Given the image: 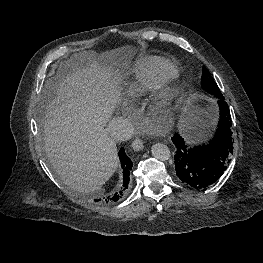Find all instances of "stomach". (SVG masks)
Returning a JSON list of instances; mask_svg holds the SVG:
<instances>
[{
  "instance_id": "obj_1",
  "label": "stomach",
  "mask_w": 263,
  "mask_h": 263,
  "mask_svg": "<svg viewBox=\"0 0 263 263\" xmlns=\"http://www.w3.org/2000/svg\"><path fill=\"white\" fill-rule=\"evenodd\" d=\"M128 53L132 56V55H134L135 54V52H136V50L134 49V48H130V47H128Z\"/></svg>"
}]
</instances>
